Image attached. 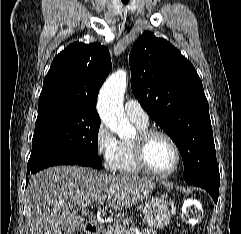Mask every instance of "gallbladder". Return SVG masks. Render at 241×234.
I'll return each mask as SVG.
<instances>
[{"mask_svg": "<svg viewBox=\"0 0 241 234\" xmlns=\"http://www.w3.org/2000/svg\"><path fill=\"white\" fill-rule=\"evenodd\" d=\"M78 222H79V228L78 229H82V222L80 219H78Z\"/></svg>", "mask_w": 241, "mask_h": 234, "instance_id": "gallbladder-1", "label": "gallbladder"}]
</instances>
